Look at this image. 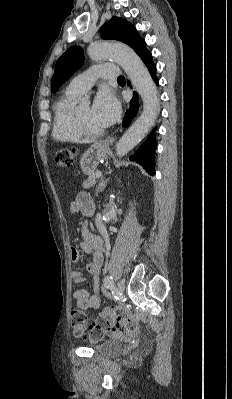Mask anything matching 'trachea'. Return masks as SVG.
<instances>
[{"label": "trachea", "mask_w": 232, "mask_h": 399, "mask_svg": "<svg viewBox=\"0 0 232 399\" xmlns=\"http://www.w3.org/2000/svg\"><path fill=\"white\" fill-rule=\"evenodd\" d=\"M117 80H125V78L122 75H119V77L117 78Z\"/></svg>", "instance_id": "obj_1"}]
</instances>
